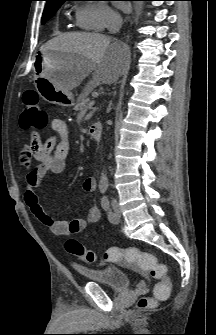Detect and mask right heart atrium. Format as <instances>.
<instances>
[{"mask_svg": "<svg viewBox=\"0 0 216 335\" xmlns=\"http://www.w3.org/2000/svg\"><path fill=\"white\" fill-rule=\"evenodd\" d=\"M76 20L84 29L103 31L107 24L119 22L120 17L103 3H84L76 9Z\"/></svg>", "mask_w": 216, "mask_h": 335, "instance_id": "d8ad5b80", "label": "right heart atrium"}]
</instances>
